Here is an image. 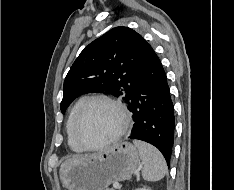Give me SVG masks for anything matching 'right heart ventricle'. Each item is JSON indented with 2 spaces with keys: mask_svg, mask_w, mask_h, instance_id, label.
Segmentation results:
<instances>
[{
  "mask_svg": "<svg viewBox=\"0 0 234 190\" xmlns=\"http://www.w3.org/2000/svg\"><path fill=\"white\" fill-rule=\"evenodd\" d=\"M85 100L86 99L82 98L74 104L66 122V133H67V138H68V144H69V147L73 151H76V152H81L83 151V149L73 138V126H74L76 115Z\"/></svg>",
  "mask_w": 234,
  "mask_h": 190,
  "instance_id": "e07e8e85",
  "label": "right heart ventricle"
}]
</instances>
